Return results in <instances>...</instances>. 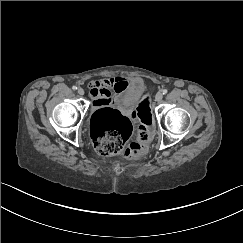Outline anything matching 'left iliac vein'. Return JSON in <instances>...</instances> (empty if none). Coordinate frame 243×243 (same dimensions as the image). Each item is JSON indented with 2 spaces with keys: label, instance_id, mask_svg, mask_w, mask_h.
Segmentation results:
<instances>
[{
  "label": "left iliac vein",
  "instance_id": "4c4485c4",
  "mask_svg": "<svg viewBox=\"0 0 243 243\" xmlns=\"http://www.w3.org/2000/svg\"><path fill=\"white\" fill-rule=\"evenodd\" d=\"M162 98H163V94H162L161 92H158V93L156 94V96H155V100H156L157 102H160V101L162 100Z\"/></svg>",
  "mask_w": 243,
  "mask_h": 243
}]
</instances>
